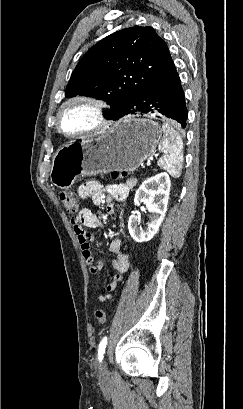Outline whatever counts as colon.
Masks as SVG:
<instances>
[{
  "label": "colon",
  "mask_w": 243,
  "mask_h": 409,
  "mask_svg": "<svg viewBox=\"0 0 243 409\" xmlns=\"http://www.w3.org/2000/svg\"><path fill=\"white\" fill-rule=\"evenodd\" d=\"M113 176L114 178H119L121 176H124V174L115 172ZM59 198L68 213L76 214L78 212L79 207H80V201L74 193L69 192V191H62L59 194ZM95 318L98 321V323L104 324L107 319L105 310L102 308H98L95 311Z\"/></svg>",
  "instance_id": "obj_1"
}]
</instances>
